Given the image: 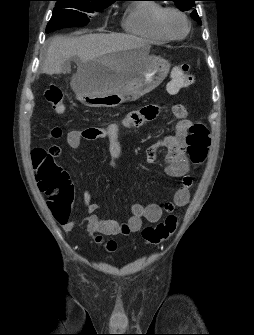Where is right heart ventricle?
Returning a JSON list of instances; mask_svg holds the SVG:
<instances>
[{
	"label": "right heart ventricle",
	"mask_w": 254,
	"mask_h": 335,
	"mask_svg": "<svg viewBox=\"0 0 254 335\" xmlns=\"http://www.w3.org/2000/svg\"><path fill=\"white\" fill-rule=\"evenodd\" d=\"M162 6L156 2L143 1L129 4L122 18L125 32L151 43H165L155 26V19Z\"/></svg>",
	"instance_id": "obj_1"
}]
</instances>
